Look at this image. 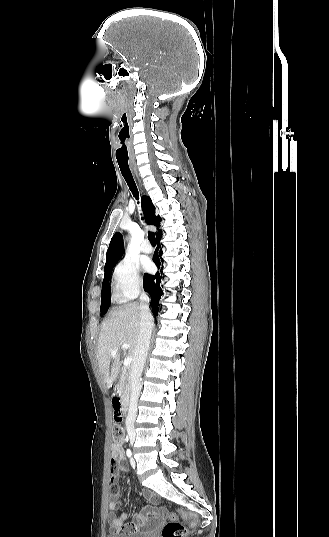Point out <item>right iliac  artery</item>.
Wrapping results in <instances>:
<instances>
[{"mask_svg":"<svg viewBox=\"0 0 329 537\" xmlns=\"http://www.w3.org/2000/svg\"><path fill=\"white\" fill-rule=\"evenodd\" d=\"M126 453H127V456L130 458L131 455H132V454H131V451L128 449V450L126 451Z\"/></svg>","mask_w":329,"mask_h":537,"instance_id":"right-iliac-artery-1","label":"right iliac artery"}]
</instances>
